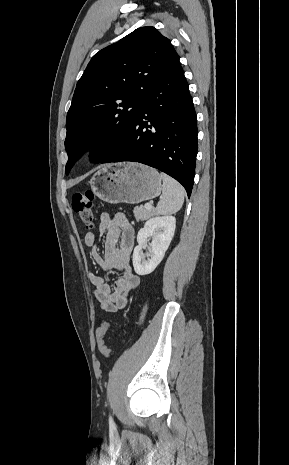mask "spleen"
Wrapping results in <instances>:
<instances>
[{
  "label": "spleen",
  "mask_w": 289,
  "mask_h": 465,
  "mask_svg": "<svg viewBox=\"0 0 289 465\" xmlns=\"http://www.w3.org/2000/svg\"><path fill=\"white\" fill-rule=\"evenodd\" d=\"M160 176L163 179L162 196L155 212L159 215L174 214L183 205L185 190L179 182L165 173H161Z\"/></svg>",
  "instance_id": "obj_1"
}]
</instances>
